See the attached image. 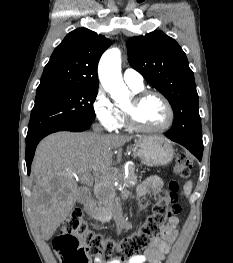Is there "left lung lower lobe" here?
I'll return each instance as SVG.
<instances>
[{
    "label": "left lung lower lobe",
    "instance_id": "0a47b994",
    "mask_svg": "<svg viewBox=\"0 0 233 263\" xmlns=\"http://www.w3.org/2000/svg\"><path fill=\"white\" fill-rule=\"evenodd\" d=\"M166 136L171 139L172 141H175L181 145H183L184 147H186L192 154H194L199 160L202 159V153H203V148H199L197 146H194V145H191L189 143H186V142H182V141H179L173 137H170L166 134Z\"/></svg>",
    "mask_w": 233,
    "mask_h": 263
}]
</instances>
